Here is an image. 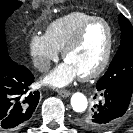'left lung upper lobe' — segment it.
Wrapping results in <instances>:
<instances>
[{
  "instance_id": "1",
  "label": "left lung upper lobe",
  "mask_w": 133,
  "mask_h": 133,
  "mask_svg": "<svg viewBox=\"0 0 133 133\" xmlns=\"http://www.w3.org/2000/svg\"><path fill=\"white\" fill-rule=\"evenodd\" d=\"M118 20L121 29V44L109 69L96 84L98 91L107 87H120L133 92V27L122 14L118 16ZM93 110L92 113L78 118L77 123L83 130L97 131L100 129L91 121Z\"/></svg>"
}]
</instances>
